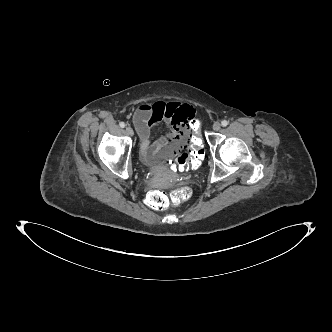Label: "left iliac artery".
<instances>
[{
    "label": "left iliac artery",
    "instance_id": "44dca946",
    "mask_svg": "<svg viewBox=\"0 0 332 332\" xmlns=\"http://www.w3.org/2000/svg\"><path fill=\"white\" fill-rule=\"evenodd\" d=\"M221 125H222L223 127H226V126L228 125V121H227V120H223V121L221 122Z\"/></svg>",
    "mask_w": 332,
    "mask_h": 332
}]
</instances>
